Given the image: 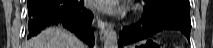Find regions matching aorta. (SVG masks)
Listing matches in <instances>:
<instances>
[{"instance_id": "1", "label": "aorta", "mask_w": 213, "mask_h": 48, "mask_svg": "<svg viewBox=\"0 0 213 48\" xmlns=\"http://www.w3.org/2000/svg\"><path fill=\"white\" fill-rule=\"evenodd\" d=\"M117 47H118L117 33L113 29V27H109L104 40V48H117Z\"/></svg>"}]
</instances>
